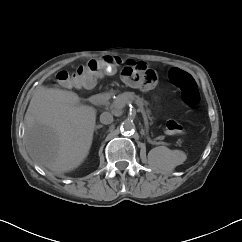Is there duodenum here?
Masks as SVG:
<instances>
[{
	"instance_id": "410a0bca",
	"label": "duodenum",
	"mask_w": 242,
	"mask_h": 242,
	"mask_svg": "<svg viewBox=\"0 0 242 242\" xmlns=\"http://www.w3.org/2000/svg\"><path fill=\"white\" fill-rule=\"evenodd\" d=\"M107 98H108V96L106 94L98 93V94L92 95L90 97V101H91V103H93L95 105H99V104L103 103Z\"/></svg>"
}]
</instances>
